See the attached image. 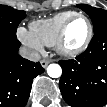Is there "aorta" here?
<instances>
[{
	"label": "aorta",
	"mask_w": 107,
	"mask_h": 107,
	"mask_svg": "<svg viewBox=\"0 0 107 107\" xmlns=\"http://www.w3.org/2000/svg\"><path fill=\"white\" fill-rule=\"evenodd\" d=\"M47 74L52 78H59L62 75V68L59 64H50L47 67Z\"/></svg>",
	"instance_id": "762f6f07"
}]
</instances>
